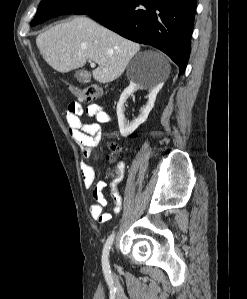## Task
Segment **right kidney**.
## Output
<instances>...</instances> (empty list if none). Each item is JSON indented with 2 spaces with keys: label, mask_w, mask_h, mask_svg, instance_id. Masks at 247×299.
<instances>
[{
  "label": "right kidney",
  "mask_w": 247,
  "mask_h": 299,
  "mask_svg": "<svg viewBox=\"0 0 247 299\" xmlns=\"http://www.w3.org/2000/svg\"><path fill=\"white\" fill-rule=\"evenodd\" d=\"M143 88V86L135 83L133 81L130 82V85L122 92L120 96V100L117 104V117H118V124L120 133L123 137H127L132 134L143 122L146 121L150 111L154 106V102L156 96L160 89L162 88V84H157L154 86H148L149 95H148V102L144 108L140 110L139 116L133 120L132 122L127 121L124 116V103L126 102L127 98L131 96L135 91L138 89Z\"/></svg>",
  "instance_id": "obj_1"
}]
</instances>
